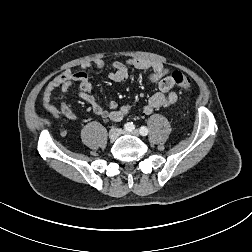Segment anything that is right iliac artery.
I'll use <instances>...</instances> for the list:
<instances>
[{
	"label": "right iliac artery",
	"instance_id": "right-iliac-artery-1",
	"mask_svg": "<svg viewBox=\"0 0 252 252\" xmlns=\"http://www.w3.org/2000/svg\"><path fill=\"white\" fill-rule=\"evenodd\" d=\"M124 129L126 130V131H132V130H134L135 129V126L133 125V123L131 122H128V123H126L125 125H124Z\"/></svg>",
	"mask_w": 252,
	"mask_h": 252
}]
</instances>
